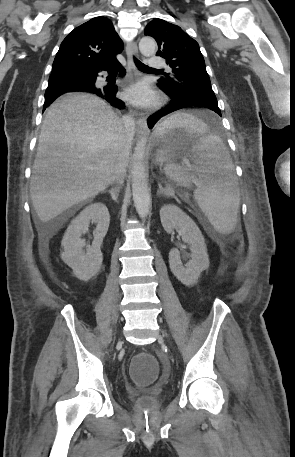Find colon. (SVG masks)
<instances>
[{"instance_id":"5ec220e1","label":"colon","mask_w":295,"mask_h":457,"mask_svg":"<svg viewBox=\"0 0 295 457\" xmlns=\"http://www.w3.org/2000/svg\"><path fill=\"white\" fill-rule=\"evenodd\" d=\"M132 368L129 369V376L133 377V383H156L157 363L153 357V351H134L131 360Z\"/></svg>"}]
</instances>
